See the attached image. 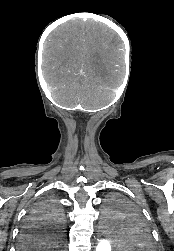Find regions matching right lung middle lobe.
Returning <instances> with one entry per match:
<instances>
[{"label":"right lung middle lobe","mask_w":174,"mask_h":251,"mask_svg":"<svg viewBox=\"0 0 174 251\" xmlns=\"http://www.w3.org/2000/svg\"><path fill=\"white\" fill-rule=\"evenodd\" d=\"M26 223L41 228L52 244L61 246L60 230L64 224V214L60 206L50 198L39 200L31 208Z\"/></svg>","instance_id":"dd1d6c3e"}]
</instances>
